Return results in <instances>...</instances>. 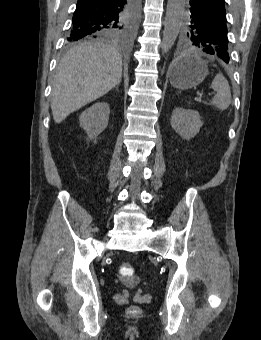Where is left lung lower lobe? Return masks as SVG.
Here are the masks:
<instances>
[{
  "mask_svg": "<svg viewBox=\"0 0 261 340\" xmlns=\"http://www.w3.org/2000/svg\"><path fill=\"white\" fill-rule=\"evenodd\" d=\"M185 3L193 16L208 17L210 14L226 16L224 0H185ZM229 60L224 62L228 63Z\"/></svg>",
  "mask_w": 261,
  "mask_h": 340,
  "instance_id": "0a47b994",
  "label": "left lung lower lobe"
}]
</instances>
